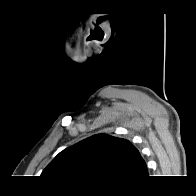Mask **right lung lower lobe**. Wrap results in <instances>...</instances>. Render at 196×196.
<instances>
[{
    "mask_svg": "<svg viewBox=\"0 0 196 196\" xmlns=\"http://www.w3.org/2000/svg\"><path fill=\"white\" fill-rule=\"evenodd\" d=\"M137 182H135V183H131V184H124V185H119V186H132V185H134V184H136Z\"/></svg>",
    "mask_w": 196,
    "mask_h": 196,
    "instance_id": "98d812e1",
    "label": "right lung lower lobe"
}]
</instances>
